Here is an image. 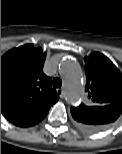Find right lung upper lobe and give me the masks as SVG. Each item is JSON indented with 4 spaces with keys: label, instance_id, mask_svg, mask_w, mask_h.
<instances>
[{
    "label": "right lung upper lobe",
    "instance_id": "cb5924a9",
    "mask_svg": "<svg viewBox=\"0 0 122 154\" xmlns=\"http://www.w3.org/2000/svg\"><path fill=\"white\" fill-rule=\"evenodd\" d=\"M45 56L26 44L1 57V113L19 127L41 122L59 99L42 70Z\"/></svg>",
    "mask_w": 122,
    "mask_h": 154
}]
</instances>
